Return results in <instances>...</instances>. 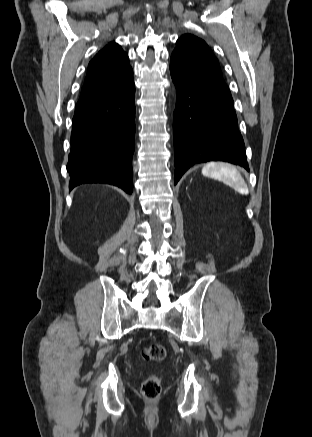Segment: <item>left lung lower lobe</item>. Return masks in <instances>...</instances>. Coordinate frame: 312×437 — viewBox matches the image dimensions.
I'll return each mask as SVG.
<instances>
[{
	"label": "left lung lower lobe",
	"instance_id": "1",
	"mask_svg": "<svg viewBox=\"0 0 312 437\" xmlns=\"http://www.w3.org/2000/svg\"><path fill=\"white\" fill-rule=\"evenodd\" d=\"M176 85L173 135L175 184L194 164L225 161L249 170L228 86L184 57L172 53Z\"/></svg>",
	"mask_w": 312,
	"mask_h": 437
}]
</instances>
